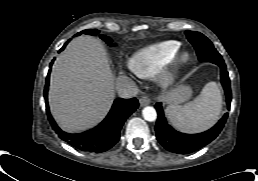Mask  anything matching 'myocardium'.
I'll use <instances>...</instances> for the list:
<instances>
[{"mask_svg":"<svg viewBox=\"0 0 258 181\" xmlns=\"http://www.w3.org/2000/svg\"><path fill=\"white\" fill-rule=\"evenodd\" d=\"M190 57H189V54L184 52V53H181L178 58H177V63L178 64H185L189 61ZM172 80H173V77L172 75H168L166 76L165 78H163L162 80V83L165 85V86H169L171 83H172Z\"/></svg>","mask_w":258,"mask_h":181,"instance_id":"f54148a6","label":"myocardium"}]
</instances>
